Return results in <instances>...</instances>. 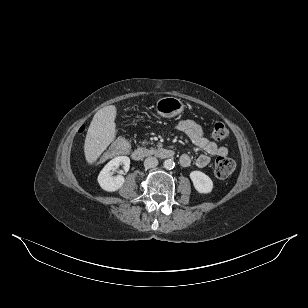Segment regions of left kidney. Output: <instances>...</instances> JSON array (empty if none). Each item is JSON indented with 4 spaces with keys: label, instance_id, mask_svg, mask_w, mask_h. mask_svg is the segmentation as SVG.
Wrapping results in <instances>:
<instances>
[{
    "label": "left kidney",
    "instance_id": "5707ae66",
    "mask_svg": "<svg viewBox=\"0 0 308 308\" xmlns=\"http://www.w3.org/2000/svg\"><path fill=\"white\" fill-rule=\"evenodd\" d=\"M190 179L199 193L208 194L212 192L213 182L205 173L201 171H192L190 173Z\"/></svg>",
    "mask_w": 308,
    "mask_h": 308
}]
</instances>
